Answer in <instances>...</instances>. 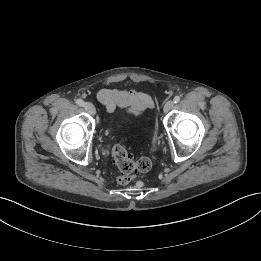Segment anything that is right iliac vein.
Here are the masks:
<instances>
[{"instance_id": "obj_1", "label": "right iliac vein", "mask_w": 261, "mask_h": 261, "mask_svg": "<svg viewBox=\"0 0 261 261\" xmlns=\"http://www.w3.org/2000/svg\"><path fill=\"white\" fill-rule=\"evenodd\" d=\"M84 108H85V110H86L89 114H91V115H95V114H96V109H95V107H94V105H93L92 103H90V102H85V103H84Z\"/></svg>"}]
</instances>
